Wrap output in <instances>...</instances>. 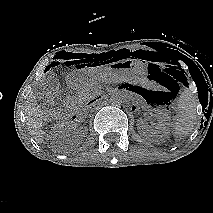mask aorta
<instances>
[{"label":"aorta","instance_id":"1","mask_svg":"<svg viewBox=\"0 0 213 213\" xmlns=\"http://www.w3.org/2000/svg\"><path fill=\"white\" fill-rule=\"evenodd\" d=\"M108 102L112 105V106H121V104L123 103V96L116 92L110 95Z\"/></svg>","mask_w":213,"mask_h":213}]
</instances>
